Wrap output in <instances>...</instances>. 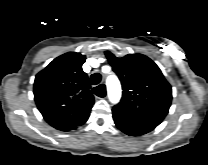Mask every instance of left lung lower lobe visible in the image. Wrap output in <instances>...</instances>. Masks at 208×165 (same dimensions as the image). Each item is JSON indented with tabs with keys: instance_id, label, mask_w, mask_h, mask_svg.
<instances>
[{
	"instance_id": "obj_1",
	"label": "left lung lower lobe",
	"mask_w": 208,
	"mask_h": 165,
	"mask_svg": "<svg viewBox=\"0 0 208 165\" xmlns=\"http://www.w3.org/2000/svg\"><path fill=\"white\" fill-rule=\"evenodd\" d=\"M113 119L116 126L130 136L144 135L156 128L155 125L127 119L117 113H113Z\"/></svg>"
}]
</instances>
